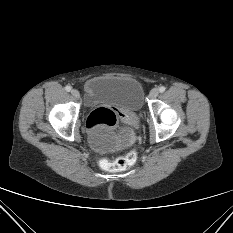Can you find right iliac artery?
I'll return each mask as SVG.
<instances>
[{
  "label": "right iliac artery",
  "mask_w": 233,
  "mask_h": 233,
  "mask_svg": "<svg viewBox=\"0 0 233 233\" xmlns=\"http://www.w3.org/2000/svg\"><path fill=\"white\" fill-rule=\"evenodd\" d=\"M65 90H66L67 92H70V91H71V86L67 85V86L65 87Z\"/></svg>",
  "instance_id": "82829eb1"
}]
</instances>
